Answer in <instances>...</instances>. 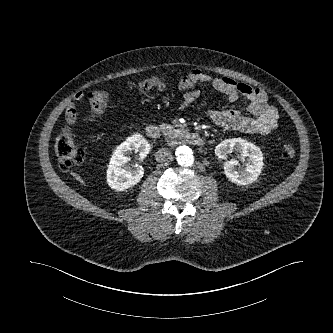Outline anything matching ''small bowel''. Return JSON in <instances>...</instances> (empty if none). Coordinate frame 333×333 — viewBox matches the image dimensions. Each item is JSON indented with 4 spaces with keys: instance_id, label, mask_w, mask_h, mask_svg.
Listing matches in <instances>:
<instances>
[{
    "instance_id": "1",
    "label": "small bowel",
    "mask_w": 333,
    "mask_h": 333,
    "mask_svg": "<svg viewBox=\"0 0 333 333\" xmlns=\"http://www.w3.org/2000/svg\"><path fill=\"white\" fill-rule=\"evenodd\" d=\"M199 85L212 86L216 91L226 95L230 102L237 101L239 96H244L249 101L248 111L251 116H244L235 108L221 111L210 110L207 116L212 122L243 133L261 135L269 134L278 126V111L268 103L263 90L229 77L215 78L200 69L190 70L178 81V89L187 91L181 98V107L190 105L200 96V91L197 89ZM85 97L86 95L80 92L68 104L65 111V120L68 125H76V103Z\"/></svg>"
}]
</instances>
